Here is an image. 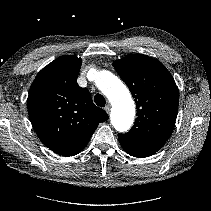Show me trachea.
<instances>
[{
    "label": "trachea",
    "mask_w": 211,
    "mask_h": 211,
    "mask_svg": "<svg viewBox=\"0 0 211 211\" xmlns=\"http://www.w3.org/2000/svg\"><path fill=\"white\" fill-rule=\"evenodd\" d=\"M94 101L97 106L104 107L106 104V100L101 94H96L94 97Z\"/></svg>",
    "instance_id": "1"
}]
</instances>
